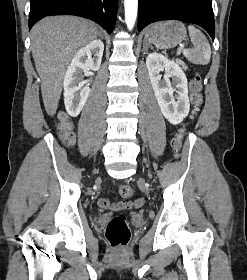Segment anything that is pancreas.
Listing matches in <instances>:
<instances>
[{"instance_id": "pancreas-1", "label": "pancreas", "mask_w": 247, "mask_h": 280, "mask_svg": "<svg viewBox=\"0 0 247 280\" xmlns=\"http://www.w3.org/2000/svg\"><path fill=\"white\" fill-rule=\"evenodd\" d=\"M177 62H178L180 65H182L183 68H184L185 70L187 69V67H186V65H185V63H184L183 61L177 60Z\"/></svg>"}]
</instances>
